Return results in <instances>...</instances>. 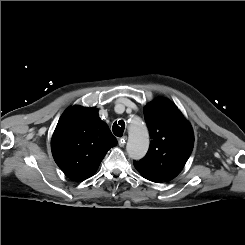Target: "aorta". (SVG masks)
<instances>
[{
  "label": "aorta",
  "mask_w": 245,
  "mask_h": 245,
  "mask_svg": "<svg viewBox=\"0 0 245 245\" xmlns=\"http://www.w3.org/2000/svg\"><path fill=\"white\" fill-rule=\"evenodd\" d=\"M149 148V135L145 123L139 117H133L128 126V142L126 146L130 158H143Z\"/></svg>",
  "instance_id": "obj_1"
}]
</instances>
